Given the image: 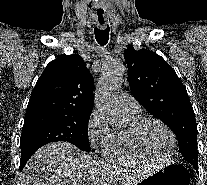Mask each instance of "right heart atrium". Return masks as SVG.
I'll use <instances>...</instances> for the list:
<instances>
[{"instance_id":"right-heart-atrium-1","label":"right heart atrium","mask_w":207,"mask_h":185,"mask_svg":"<svg viewBox=\"0 0 207 185\" xmlns=\"http://www.w3.org/2000/svg\"><path fill=\"white\" fill-rule=\"evenodd\" d=\"M107 116L99 109H94L87 122V138L91 146L102 143L110 134Z\"/></svg>"}]
</instances>
